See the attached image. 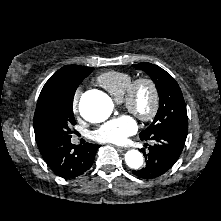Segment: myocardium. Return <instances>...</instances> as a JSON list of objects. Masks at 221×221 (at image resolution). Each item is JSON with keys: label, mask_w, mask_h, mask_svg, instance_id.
<instances>
[{"label": "myocardium", "mask_w": 221, "mask_h": 221, "mask_svg": "<svg viewBox=\"0 0 221 221\" xmlns=\"http://www.w3.org/2000/svg\"><path fill=\"white\" fill-rule=\"evenodd\" d=\"M141 86H146L150 92L151 105L147 112H141L135 106V96ZM121 102L129 112L141 121H152L156 117L160 106V95L155 81L150 77H140L133 80L123 95Z\"/></svg>", "instance_id": "f54148a6"}]
</instances>
